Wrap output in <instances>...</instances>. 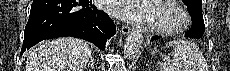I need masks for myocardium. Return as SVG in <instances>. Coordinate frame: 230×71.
Segmentation results:
<instances>
[{
  "instance_id": "myocardium-1",
  "label": "myocardium",
  "mask_w": 230,
  "mask_h": 71,
  "mask_svg": "<svg viewBox=\"0 0 230 71\" xmlns=\"http://www.w3.org/2000/svg\"><path fill=\"white\" fill-rule=\"evenodd\" d=\"M155 2L164 8H169L174 12H176L179 20L174 25H163V24L152 23L149 26L150 31L160 35H175L187 29L190 23V16L188 11L183 6H181L176 1H170V0H166V1L158 0Z\"/></svg>"
}]
</instances>
